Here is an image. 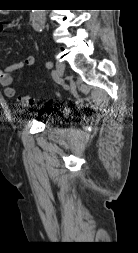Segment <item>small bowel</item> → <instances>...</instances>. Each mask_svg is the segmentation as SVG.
<instances>
[{
  "label": "small bowel",
  "mask_w": 138,
  "mask_h": 253,
  "mask_svg": "<svg viewBox=\"0 0 138 253\" xmlns=\"http://www.w3.org/2000/svg\"><path fill=\"white\" fill-rule=\"evenodd\" d=\"M1 29H2V25H0V30ZM34 63H35V57L33 55H29L25 58L24 61H18V62L11 63L5 67H0V85L4 89L5 96L12 98L17 93V89L13 85L12 73L14 71L24 68V66L32 67Z\"/></svg>",
  "instance_id": "small-bowel-1"
}]
</instances>
